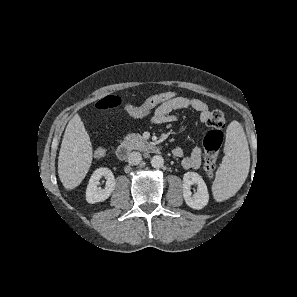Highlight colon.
<instances>
[{"instance_id": "1", "label": "colon", "mask_w": 297, "mask_h": 297, "mask_svg": "<svg viewBox=\"0 0 297 297\" xmlns=\"http://www.w3.org/2000/svg\"><path fill=\"white\" fill-rule=\"evenodd\" d=\"M176 97V93L173 91L163 92L147 98L142 104L144 110L152 109L155 106L169 101ZM124 99L119 95H110L100 100L96 104V108L99 111H108L119 108L124 104ZM225 124V114L222 109L217 108L210 112L207 120V125L211 128V131L204 137V170L209 178H212L216 168V162L220 148L223 143V134L221 132L222 127ZM106 154L104 148H97L94 152L96 158H102Z\"/></svg>"}]
</instances>
